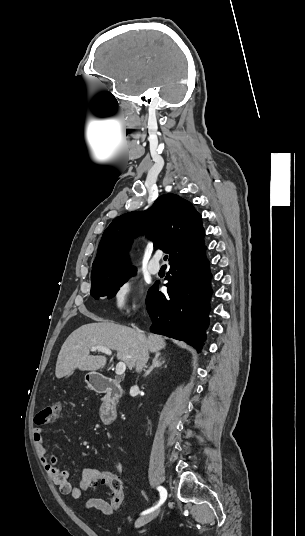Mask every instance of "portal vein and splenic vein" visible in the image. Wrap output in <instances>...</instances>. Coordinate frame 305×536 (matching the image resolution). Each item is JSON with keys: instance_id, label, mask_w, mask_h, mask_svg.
Here are the masks:
<instances>
[{"instance_id": "portal-vein-and-splenic-vein-1", "label": "portal vein and splenic vein", "mask_w": 305, "mask_h": 536, "mask_svg": "<svg viewBox=\"0 0 305 536\" xmlns=\"http://www.w3.org/2000/svg\"><path fill=\"white\" fill-rule=\"evenodd\" d=\"M91 352H103V354H107V356H111L112 352L109 350V348H104V346H94V348H90ZM126 370V364H123V362H119L116 366L115 374L117 376H122Z\"/></svg>"}]
</instances>
